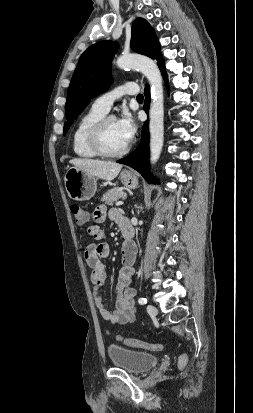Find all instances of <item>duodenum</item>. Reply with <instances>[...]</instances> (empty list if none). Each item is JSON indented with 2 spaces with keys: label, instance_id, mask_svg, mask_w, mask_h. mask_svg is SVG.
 Returning a JSON list of instances; mask_svg holds the SVG:
<instances>
[{
  "label": "duodenum",
  "instance_id": "410a0bca",
  "mask_svg": "<svg viewBox=\"0 0 253 413\" xmlns=\"http://www.w3.org/2000/svg\"><path fill=\"white\" fill-rule=\"evenodd\" d=\"M121 231L125 243H131L133 238V229L127 220L123 221L121 224Z\"/></svg>",
  "mask_w": 253,
  "mask_h": 413
}]
</instances>
